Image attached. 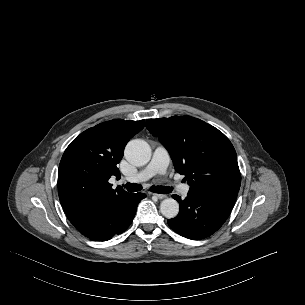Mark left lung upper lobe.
Listing matches in <instances>:
<instances>
[{
  "instance_id": "obj_1",
  "label": "left lung upper lobe",
  "mask_w": 305,
  "mask_h": 305,
  "mask_svg": "<svg viewBox=\"0 0 305 305\" xmlns=\"http://www.w3.org/2000/svg\"><path fill=\"white\" fill-rule=\"evenodd\" d=\"M146 127L168 150L190 190L239 191L241 174L235 149L218 129L190 116L147 119Z\"/></svg>"
}]
</instances>
